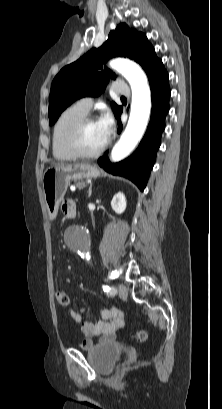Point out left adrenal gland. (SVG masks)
I'll return each instance as SVG.
<instances>
[{"label": "left adrenal gland", "mask_w": 222, "mask_h": 409, "mask_svg": "<svg viewBox=\"0 0 222 409\" xmlns=\"http://www.w3.org/2000/svg\"><path fill=\"white\" fill-rule=\"evenodd\" d=\"M92 194V184H90L89 189H88V197H90Z\"/></svg>", "instance_id": "a2214340"}]
</instances>
